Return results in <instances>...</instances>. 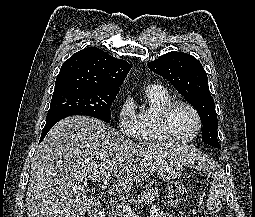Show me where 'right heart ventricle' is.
<instances>
[{"label":"right heart ventricle","mask_w":255,"mask_h":217,"mask_svg":"<svg viewBox=\"0 0 255 217\" xmlns=\"http://www.w3.org/2000/svg\"><path fill=\"white\" fill-rule=\"evenodd\" d=\"M170 101V93L160 85H151L145 91V104L137 113L138 131L136 138L141 141H164L158 125L160 110Z\"/></svg>","instance_id":"obj_1"}]
</instances>
